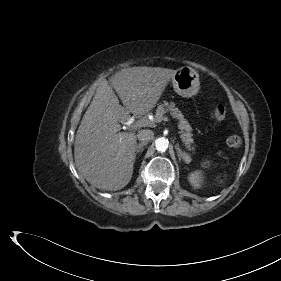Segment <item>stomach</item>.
I'll return each mask as SVG.
<instances>
[{"label": "stomach", "instance_id": "0dacf381", "mask_svg": "<svg viewBox=\"0 0 281 281\" xmlns=\"http://www.w3.org/2000/svg\"><path fill=\"white\" fill-rule=\"evenodd\" d=\"M172 85L178 95L192 97L200 89L199 74L189 66L181 67L173 75Z\"/></svg>", "mask_w": 281, "mask_h": 281}]
</instances>
